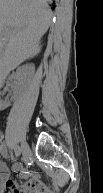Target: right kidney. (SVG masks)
I'll list each match as a JSON object with an SVG mask.
<instances>
[{
    "instance_id": "1",
    "label": "right kidney",
    "mask_w": 103,
    "mask_h": 193,
    "mask_svg": "<svg viewBox=\"0 0 103 193\" xmlns=\"http://www.w3.org/2000/svg\"><path fill=\"white\" fill-rule=\"evenodd\" d=\"M34 71V66L32 64H27L25 67L20 69L21 73H26V72H33ZM9 104H6L3 109H5Z\"/></svg>"
}]
</instances>
